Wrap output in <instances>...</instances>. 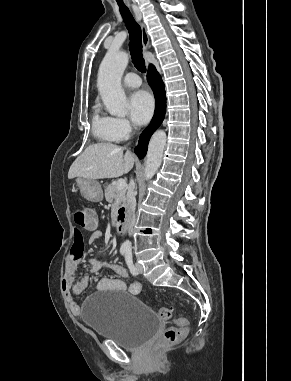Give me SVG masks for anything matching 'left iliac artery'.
<instances>
[{
	"label": "left iliac artery",
	"instance_id": "obj_1",
	"mask_svg": "<svg viewBox=\"0 0 291 381\" xmlns=\"http://www.w3.org/2000/svg\"><path fill=\"white\" fill-rule=\"evenodd\" d=\"M125 261H126V264L130 270V272L133 274V275H137V269L136 267L134 266L133 264V258H132V252L131 251H126L125 253Z\"/></svg>",
	"mask_w": 291,
	"mask_h": 381
}]
</instances>
